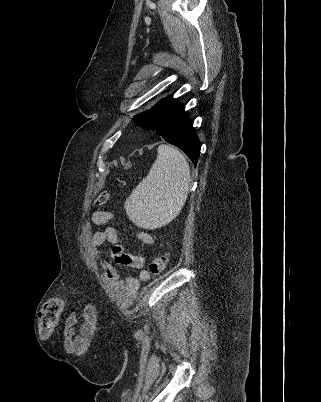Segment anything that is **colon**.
I'll return each instance as SVG.
<instances>
[{"instance_id":"obj_1","label":"colon","mask_w":321,"mask_h":402,"mask_svg":"<svg viewBox=\"0 0 321 402\" xmlns=\"http://www.w3.org/2000/svg\"><path fill=\"white\" fill-rule=\"evenodd\" d=\"M108 199L109 194L107 192H102L96 197L94 203L96 206H104L107 204ZM167 262V252L161 253L150 263V272L155 276L160 275L165 270ZM63 309L64 302L58 297H53L44 304L38 318V330L41 336H49L52 334L57 326Z\"/></svg>"}]
</instances>
